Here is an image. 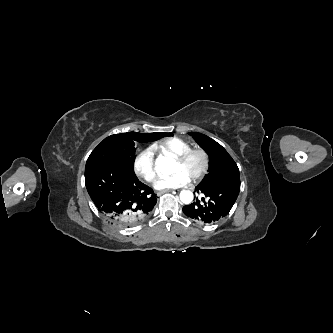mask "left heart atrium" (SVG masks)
<instances>
[{
  "instance_id": "obj_1",
  "label": "left heart atrium",
  "mask_w": 333,
  "mask_h": 333,
  "mask_svg": "<svg viewBox=\"0 0 333 333\" xmlns=\"http://www.w3.org/2000/svg\"><path fill=\"white\" fill-rule=\"evenodd\" d=\"M190 182V178L183 171H176L174 174L160 178L155 183V188L162 189H175L183 187Z\"/></svg>"
}]
</instances>
